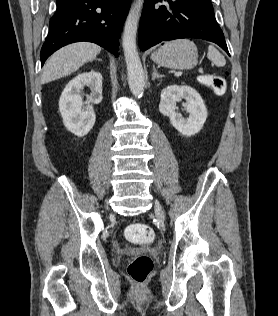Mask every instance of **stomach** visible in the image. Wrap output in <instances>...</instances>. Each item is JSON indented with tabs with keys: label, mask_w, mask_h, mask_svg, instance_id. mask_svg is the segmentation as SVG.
Instances as JSON below:
<instances>
[{
	"label": "stomach",
	"mask_w": 278,
	"mask_h": 316,
	"mask_svg": "<svg viewBox=\"0 0 278 316\" xmlns=\"http://www.w3.org/2000/svg\"><path fill=\"white\" fill-rule=\"evenodd\" d=\"M151 59L158 65L172 69H192L198 62V51L190 40H176L161 46L152 53Z\"/></svg>",
	"instance_id": "1"
}]
</instances>
